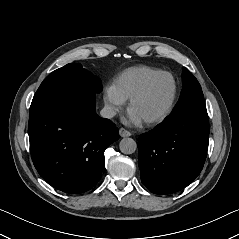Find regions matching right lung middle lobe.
<instances>
[{
	"label": "right lung middle lobe",
	"mask_w": 239,
	"mask_h": 239,
	"mask_svg": "<svg viewBox=\"0 0 239 239\" xmlns=\"http://www.w3.org/2000/svg\"><path fill=\"white\" fill-rule=\"evenodd\" d=\"M74 88H83L99 93L102 90V83L99 78L82 68L81 64H67L53 71L44 79L33 97L30 108L55 93Z\"/></svg>",
	"instance_id": "1"
}]
</instances>
